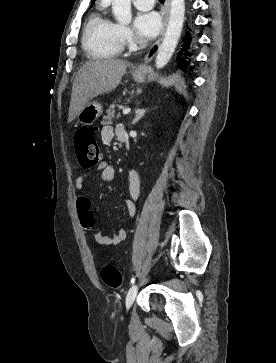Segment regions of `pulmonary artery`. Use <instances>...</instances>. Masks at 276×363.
I'll list each match as a JSON object with an SVG mask.
<instances>
[{"instance_id":"1","label":"pulmonary artery","mask_w":276,"mask_h":363,"mask_svg":"<svg viewBox=\"0 0 276 363\" xmlns=\"http://www.w3.org/2000/svg\"><path fill=\"white\" fill-rule=\"evenodd\" d=\"M155 0H133V4L140 10H150L154 6Z\"/></svg>"}]
</instances>
